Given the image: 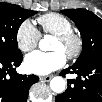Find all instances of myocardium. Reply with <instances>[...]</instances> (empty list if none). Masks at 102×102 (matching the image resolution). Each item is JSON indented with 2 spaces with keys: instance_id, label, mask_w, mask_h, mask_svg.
<instances>
[{
  "instance_id": "myocardium-1",
  "label": "myocardium",
  "mask_w": 102,
  "mask_h": 102,
  "mask_svg": "<svg viewBox=\"0 0 102 102\" xmlns=\"http://www.w3.org/2000/svg\"><path fill=\"white\" fill-rule=\"evenodd\" d=\"M55 39L63 46L69 47L65 56L69 60L77 59L83 50V38L80 33L70 31L62 35L55 36Z\"/></svg>"
}]
</instances>
